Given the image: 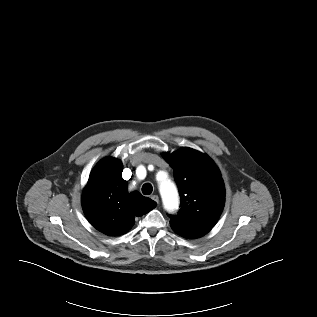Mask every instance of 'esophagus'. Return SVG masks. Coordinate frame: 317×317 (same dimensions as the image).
Listing matches in <instances>:
<instances>
[{"instance_id":"1","label":"esophagus","mask_w":317,"mask_h":317,"mask_svg":"<svg viewBox=\"0 0 317 317\" xmlns=\"http://www.w3.org/2000/svg\"><path fill=\"white\" fill-rule=\"evenodd\" d=\"M151 199L153 200V201H155L156 203H159V196L158 195H152L151 196Z\"/></svg>"}]
</instances>
